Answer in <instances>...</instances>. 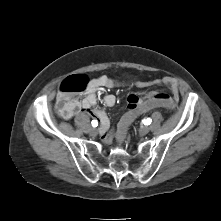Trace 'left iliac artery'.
<instances>
[{
    "mask_svg": "<svg viewBox=\"0 0 221 221\" xmlns=\"http://www.w3.org/2000/svg\"><path fill=\"white\" fill-rule=\"evenodd\" d=\"M144 122L146 125H150L152 120H151V118H147Z\"/></svg>",
    "mask_w": 221,
    "mask_h": 221,
    "instance_id": "44dca946",
    "label": "left iliac artery"
}]
</instances>
